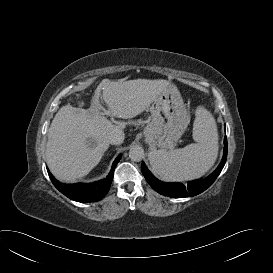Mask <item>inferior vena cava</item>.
Segmentation results:
<instances>
[{
    "label": "inferior vena cava",
    "mask_w": 273,
    "mask_h": 273,
    "mask_svg": "<svg viewBox=\"0 0 273 273\" xmlns=\"http://www.w3.org/2000/svg\"><path fill=\"white\" fill-rule=\"evenodd\" d=\"M124 140V133L121 129L114 130L109 136L108 141L112 145L121 144Z\"/></svg>",
    "instance_id": "inferior-vena-cava-1"
}]
</instances>
